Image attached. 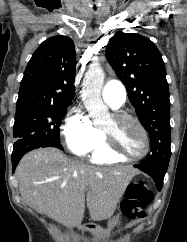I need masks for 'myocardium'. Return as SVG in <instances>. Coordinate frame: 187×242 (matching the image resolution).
I'll use <instances>...</instances> for the list:
<instances>
[{
    "label": "myocardium",
    "instance_id": "1",
    "mask_svg": "<svg viewBox=\"0 0 187 242\" xmlns=\"http://www.w3.org/2000/svg\"><path fill=\"white\" fill-rule=\"evenodd\" d=\"M112 119L117 123H124V122H130L132 124H134L139 131L141 132L143 138H144V150L141 154L138 155H131L126 153L125 151H123L115 142V140L113 139V137L111 135H109L105 130H103V134H104V140H105V146L107 148V150L120 158H123L125 160H140L144 157H146L150 151V138L148 135L147 130L145 129V127L141 124V122L135 118L134 116L125 113V112H116L114 114H112Z\"/></svg>",
    "mask_w": 187,
    "mask_h": 242
}]
</instances>
